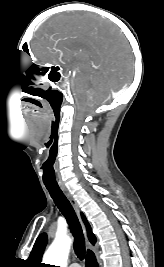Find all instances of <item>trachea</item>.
<instances>
[{"label": "trachea", "instance_id": "trachea-1", "mask_svg": "<svg viewBox=\"0 0 164 267\" xmlns=\"http://www.w3.org/2000/svg\"><path fill=\"white\" fill-rule=\"evenodd\" d=\"M49 191L54 203L60 210V212L64 215L67 223L69 225L70 231L74 237V251L79 259H84L85 257V241L84 235L79 223V220L76 216V213L66 198L64 193L59 187H51L46 186Z\"/></svg>", "mask_w": 164, "mask_h": 267}]
</instances>
